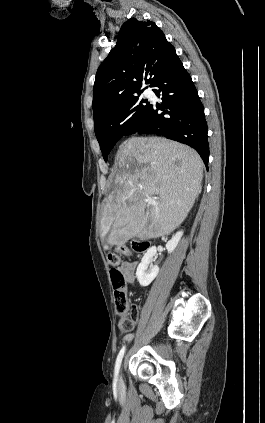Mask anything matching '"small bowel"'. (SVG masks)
I'll return each mask as SVG.
<instances>
[{"label":"small bowel","instance_id":"c3829d8e","mask_svg":"<svg viewBox=\"0 0 265 423\" xmlns=\"http://www.w3.org/2000/svg\"><path fill=\"white\" fill-rule=\"evenodd\" d=\"M137 267V262L135 261H131V262H124L120 265L119 270L121 271V273L123 274L125 281L130 284L133 285L135 283L136 280V276H135V270ZM132 335L131 334H127L125 336L126 340L131 339Z\"/></svg>","mask_w":265,"mask_h":423}]
</instances>
